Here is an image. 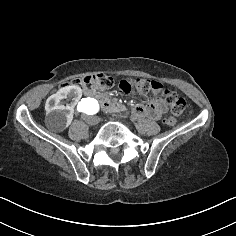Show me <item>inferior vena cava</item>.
<instances>
[{"label":"inferior vena cava","instance_id":"1","mask_svg":"<svg viewBox=\"0 0 236 236\" xmlns=\"http://www.w3.org/2000/svg\"><path fill=\"white\" fill-rule=\"evenodd\" d=\"M82 119L84 121H86L89 125H96L97 123H99L101 120L99 118H97L96 116H86V115H83L82 116Z\"/></svg>","mask_w":236,"mask_h":236}]
</instances>
